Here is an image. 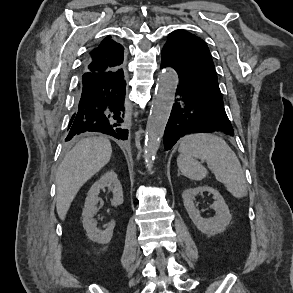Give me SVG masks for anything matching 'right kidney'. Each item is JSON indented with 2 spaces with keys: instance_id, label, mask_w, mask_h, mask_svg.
I'll use <instances>...</instances> for the list:
<instances>
[{
  "instance_id": "obj_1",
  "label": "right kidney",
  "mask_w": 293,
  "mask_h": 293,
  "mask_svg": "<svg viewBox=\"0 0 293 293\" xmlns=\"http://www.w3.org/2000/svg\"><path fill=\"white\" fill-rule=\"evenodd\" d=\"M105 187H111L113 192V199L111 205L116 207L123 203V191L117 174L113 171L105 173L98 181H96L90 188L85 201L82 218L83 227L90 240L107 244L110 242L113 229L115 227V221H111L104 231H100L96 228V222L94 220V214L97 211L96 205L99 202V193L101 189Z\"/></svg>"
}]
</instances>
